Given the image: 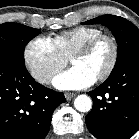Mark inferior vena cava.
<instances>
[{
    "instance_id": "inferior-vena-cava-1",
    "label": "inferior vena cava",
    "mask_w": 139,
    "mask_h": 139,
    "mask_svg": "<svg viewBox=\"0 0 139 139\" xmlns=\"http://www.w3.org/2000/svg\"><path fill=\"white\" fill-rule=\"evenodd\" d=\"M51 78V75L49 73H43L40 76L41 82H47Z\"/></svg>"
}]
</instances>
